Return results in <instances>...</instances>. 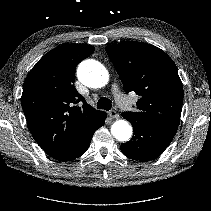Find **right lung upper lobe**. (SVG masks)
Instances as JSON below:
<instances>
[{
	"label": "right lung upper lobe",
	"instance_id": "obj_1",
	"mask_svg": "<svg viewBox=\"0 0 211 211\" xmlns=\"http://www.w3.org/2000/svg\"><path fill=\"white\" fill-rule=\"evenodd\" d=\"M94 52L87 44H66L45 54L27 75L22 108L36 142L50 156L70 146L104 112L75 89V69Z\"/></svg>",
	"mask_w": 211,
	"mask_h": 211
}]
</instances>
